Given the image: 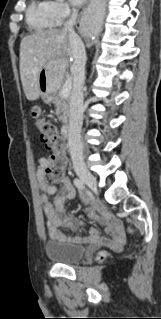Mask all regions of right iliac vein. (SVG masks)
<instances>
[{"mask_svg":"<svg viewBox=\"0 0 161 319\" xmlns=\"http://www.w3.org/2000/svg\"><path fill=\"white\" fill-rule=\"evenodd\" d=\"M78 177L92 190L96 191V180L94 176L86 169H76Z\"/></svg>","mask_w":161,"mask_h":319,"instance_id":"1","label":"right iliac vein"}]
</instances>
